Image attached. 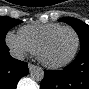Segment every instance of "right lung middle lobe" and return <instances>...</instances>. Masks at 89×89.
Masks as SVG:
<instances>
[{"label": "right lung middle lobe", "instance_id": "right-lung-middle-lobe-1", "mask_svg": "<svg viewBox=\"0 0 89 89\" xmlns=\"http://www.w3.org/2000/svg\"><path fill=\"white\" fill-rule=\"evenodd\" d=\"M21 22L22 21L8 16H0V45L5 44V36L7 32Z\"/></svg>", "mask_w": 89, "mask_h": 89}]
</instances>
